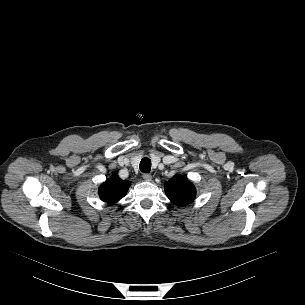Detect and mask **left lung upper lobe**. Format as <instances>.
<instances>
[{"label":"left lung upper lobe","mask_w":305,"mask_h":305,"mask_svg":"<svg viewBox=\"0 0 305 305\" xmlns=\"http://www.w3.org/2000/svg\"><path fill=\"white\" fill-rule=\"evenodd\" d=\"M168 198L177 205L191 203L196 196L194 185L186 178L176 176L164 185Z\"/></svg>","instance_id":"obj_1"}]
</instances>
